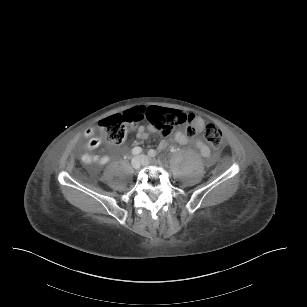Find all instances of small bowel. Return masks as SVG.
I'll return each mask as SVG.
<instances>
[{"mask_svg":"<svg viewBox=\"0 0 307 307\" xmlns=\"http://www.w3.org/2000/svg\"><path fill=\"white\" fill-rule=\"evenodd\" d=\"M149 130L153 131L154 129L150 127ZM147 136H148L147 129L143 126L139 127L137 131V137L139 139H146ZM85 137L88 139L85 145V148L88 151V153H85L81 156L82 162L85 164H106L109 161V157L107 155H97L89 153L97 149L101 145L102 143L101 137L96 135V132L93 128H89L85 131ZM170 141H173L181 145L192 144L204 158L210 157L211 152L206 143L202 139L188 135L184 131L181 130L175 131L171 140L169 139L161 140L159 143V149L163 150L167 148Z\"/></svg>","mask_w":307,"mask_h":307,"instance_id":"1","label":"small bowel"}]
</instances>
